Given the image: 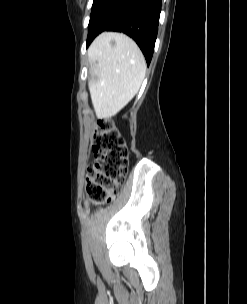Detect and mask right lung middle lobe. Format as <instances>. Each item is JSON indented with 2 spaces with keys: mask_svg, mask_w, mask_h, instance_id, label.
Returning <instances> with one entry per match:
<instances>
[{
  "mask_svg": "<svg viewBox=\"0 0 247 304\" xmlns=\"http://www.w3.org/2000/svg\"><path fill=\"white\" fill-rule=\"evenodd\" d=\"M95 2H96V0H94V2H93V6H94ZM93 6H92V7H93Z\"/></svg>",
  "mask_w": 247,
  "mask_h": 304,
  "instance_id": "1",
  "label": "right lung middle lobe"
}]
</instances>
